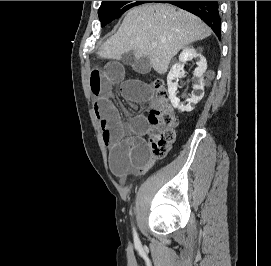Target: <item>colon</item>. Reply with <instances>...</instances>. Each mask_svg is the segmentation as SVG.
Masks as SVG:
<instances>
[{
  "mask_svg": "<svg viewBox=\"0 0 271 266\" xmlns=\"http://www.w3.org/2000/svg\"><path fill=\"white\" fill-rule=\"evenodd\" d=\"M151 85L156 99L149 113V150L153 157L163 158L175 141L178 121L164 82L156 79Z\"/></svg>",
  "mask_w": 271,
  "mask_h": 266,
  "instance_id": "5ec220e1",
  "label": "colon"
}]
</instances>
